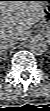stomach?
<instances>
[{"label":"stomach","mask_w":50,"mask_h":111,"mask_svg":"<svg viewBox=\"0 0 50 111\" xmlns=\"http://www.w3.org/2000/svg\"><path fill=\"white\" fill-rule=\"evenodd\" d=\"M45 16L43 19L44 25L46 27L47 32H50V3L46 2L45 10H44Z\"/></svg>","instance_id":"stomach-1"}]
</instances>
